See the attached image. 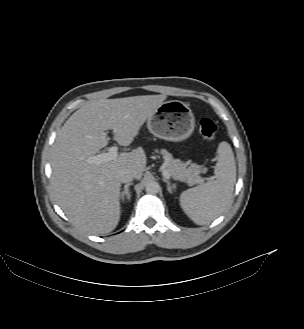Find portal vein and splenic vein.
<instances>
[{"mask_svg":"<svg viewBox=\"0 0 304 329\" xmlns=\"http://www.w3.org/2000/svg\"><path fill=\"white\" fill-rule=\"evenodd\" d=\"M117 156H118V147L112 146L108 149V152L101 153V154H98L95 156H91L86 159V162L90 163V164L99 165V164L107 162V161L115 160L117 158ZM162 172H163V176L165 178H170V174L168 173L167 170L163 169Z\"/></svg>","mask_w":304,"mask_h":329,"instance_id":"portal-vein-and-splenic-vein-1","label":"portal vein and splenic vein"}]
</instances>
